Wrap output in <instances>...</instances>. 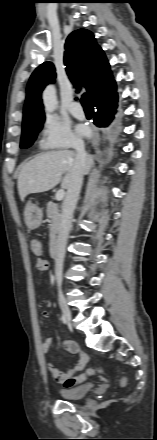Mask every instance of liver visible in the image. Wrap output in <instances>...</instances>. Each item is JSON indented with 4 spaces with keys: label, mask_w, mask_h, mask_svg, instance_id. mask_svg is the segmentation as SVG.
<instances>
[{
    "label": "liver",
    "mask_w": 157,
    "mask_h": 440,
    "mask_svg": "<svg viewBox=\"0 0 157 440\" xmlns=\"http://www.w3.org/2000/svg\"><path fill=\"white\" fill-rule=\"evenodd\" d=\"M75 164L76 152L71 150L45 152L22 164L17 182L21 201L29 194L49 191L60 182L63 189H68ZM93 164V156L86 154L83 174H88Z\"/></svg>",
    "instance_id": "1"
}]
</instances>
